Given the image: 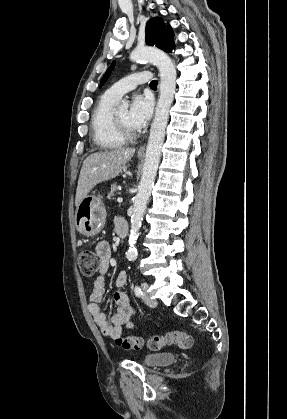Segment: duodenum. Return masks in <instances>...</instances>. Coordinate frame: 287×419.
<instances>
[{
	"mask_svg": "<svg viewBox=\"0 0 287 419\" xmlns=\"http://www.w3.org/2000/svg\"><path fill=\"white\" fill-rule=\"evenodd\" d=\"M116 233L117 236L119 238H125L128 234V226L126 223H122L120 224L117 228H116Z\"/></svg>",
	"mask_w": 287,
	"mask_h": 419,
	"instance_id": "duodenum-1",
	"label": "duodenum"
}]
</instances>
